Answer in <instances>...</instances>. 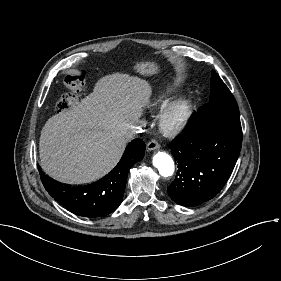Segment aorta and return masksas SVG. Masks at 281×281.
I'll use <instances>...</instances> for the list:
<instances>
[{
	"label": "aorta",
	"mask_w": 281,
	"mask_h": 281,
	"mask_svg": "<svg viewBox=\"0 0 281 281\" xmlns=\"http://www.w3.org/2000/svg\"><path fill=\"white\" fill-rule=\"evenodd\" d=\"M153 165L163 177H169L174 173V162L170 155L158 152L153 157Z\"/></svg>",
	"instance_id": "aorta-1"
}]
</instances>
